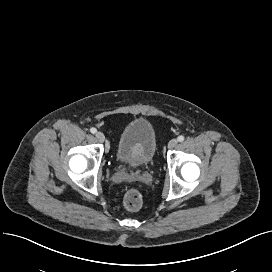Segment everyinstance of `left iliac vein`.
<instances>
[{
    "label": "left iliac vein",
    "mask_w": 272,
    "mask_h": 272,
    "mask_svg": "<svg viewBox=\"0 0 272 272\" xmlns=\"http://www.w3.org/2000/svg\"><path fill=\"white\" fill-rule=\"evenodd\" d=\"M177 144H178L177 139H171V140L168 142V148H169V149H173L174 147H176Z\"/></svg>",
    "instance_id": "obj_1"
}]
</instances>
